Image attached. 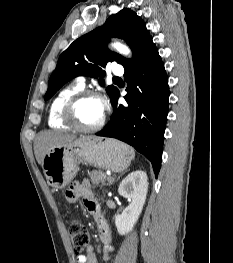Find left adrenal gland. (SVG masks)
<instances>
[{
  "label": "left adrenal gland",
  "mask_w": 233,
  "mask_h": 263,
  "mask_svg": "<svg viewBox=\"0 0 233 263\" xmlns=\"http://www.w3.org/2000/svg\"><path fill=\"white\" fill-rule=\"evenodd\" d=\"M118 178H120V176ZM113 182H114V180L110 181L109 184H112Z\"/></svg>",
  "instance_id": "obj_1"
}]
</instances>
